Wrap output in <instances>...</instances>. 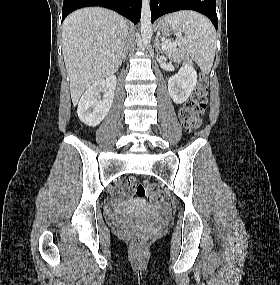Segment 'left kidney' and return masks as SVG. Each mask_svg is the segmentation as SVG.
<instances>
[{"mask_svg":"<svg viewBox=\"0 0 280 285\" xmlns=\"http://www.w3.org/2000/svg\"><path fill=\"white\" fill-rule=\"evenodd\" d=\"M197 83V72L190 62H184L179 72L168 80V91L176 104H182L191 95Z\"/></svg>","mask_w":280,"mask_h":285,"instance_id":"obj_1","label":"left kidney"}]
</instances>
